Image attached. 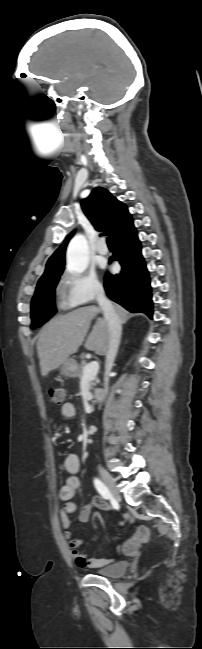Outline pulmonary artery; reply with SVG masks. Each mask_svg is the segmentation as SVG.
<instances>
[{
    "mask_svg": "<svg viewBox=\"0 0 202 649\" xmlns=\"http://www.w3.org/2000/svg\"><path fill=\"white\" fill-rule=\"evenodd\" d=\"M96 250H97V252H98L99 254H101V255H106V254H108V248H107V246L105 245L104 240H100V241H99Z\"/></svg>",
    "mask_w": 202,
    "mask_h": 649,
    "instance_id": "e3ab8cb5",
    "label": "pulmonary artery"
}]
</instances>
